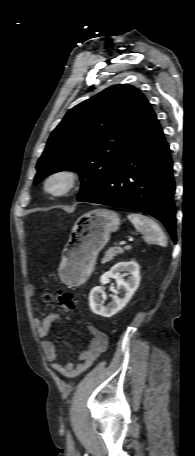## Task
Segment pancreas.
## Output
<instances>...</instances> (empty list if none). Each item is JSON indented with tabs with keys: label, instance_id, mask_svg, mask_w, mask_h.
<instances>
[{
	"label": "pancreas",
	"instance_id": "obj_1",
	"mask_svg": "<svg viewBox=\"0 0 195 456\" xmlns=\"http://www.w3.org/2000/svg\"><path fill=\"white\" fill-rule=\"evenodd\" d=\"M129 247H111L109 248L103 259H102V263H107V262H110L115 256H117L118 254H122L124 253V250H128Z\"/></svg>",
	"mask_w": 195,
	"mask_h": 456
}]
</instances>
